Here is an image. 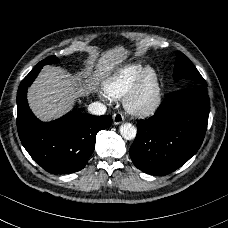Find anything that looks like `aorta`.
<instances>
[{
  "mask_svg": "<svg viewBox=\"0 0 228 228\" xmlns=\"http://www.w3.org/2000/svg\"><path fill=\"white\" fill-rule=\"evenodd\" d=\"M137 130L131 123H123L120 126V134L126 140H132L136 137Z\"/></svg>",
  "mask_w": 228,
  "mask_h": 228,
  "instance_id": "aorta-1",
  "label": "aorta"
}]
</instances>
